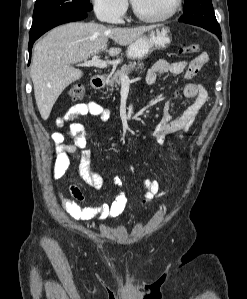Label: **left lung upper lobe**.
Returning <instances> with one entry per match:
<instances>
[{"label": "left lung upper lobe", "mask_w": 247, "mask_h": 299, "mask_svg": "<svg viewBox=\"0 0 247 299\" xmlns=\"http://www.w3.org/2000/svg\"><path fill=\"white\" fill-rule=\"evenodd\" d=\"M179 21H198L220 29L211 0H185L184 14Z\"/></svg>", "instance_id": "1"}]
</instances>
